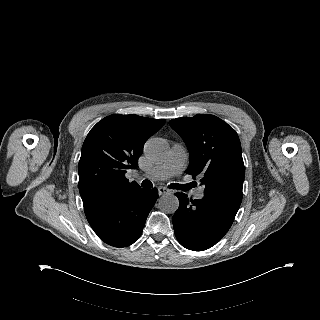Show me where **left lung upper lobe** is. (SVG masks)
Returning a JSON list of instances; mask_svg holds the SVG:
<instances>
[{"label":"left lung upper lobe","mask_w":320,"mask_h":320,"mask_svg":"<svg viewBox=\"0 0 320 320\" xmlns=\"http://www.w3.org/2000/svg\"><path fill=\"white\" fill-rule=\"evenodd\" d=\"M169 124L188 147L190 162L185 172L201 178L205 196L239 209L244 163L237 133L218 117L206 114L173 119Z\"/></svg>","instance_id":"1"}]
</instances>
